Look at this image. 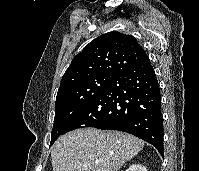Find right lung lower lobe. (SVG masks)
<instances>
[{"instance_id": "right-lung-lower-lobe-1", "label": "right lung lower lobe", "mask_w": 199, "mask_h": 171, "mask_svg": "<svg viewBox=\"0 0 199 171\" xmlns=\"http://www.w3.org/2000/svg\"><path fill=\"white\" fill-rule=\"evenodd\" d=\"M119 130L152 144L163 156V116L158 80L149 58L118 73L65 127Z\"/></svg>"}]
</instances>
